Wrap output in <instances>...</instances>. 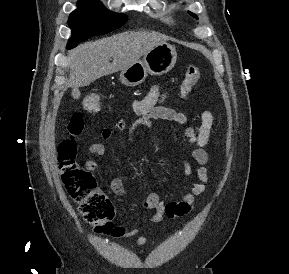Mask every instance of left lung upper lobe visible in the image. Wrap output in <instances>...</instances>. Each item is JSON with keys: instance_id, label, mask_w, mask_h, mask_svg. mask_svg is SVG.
<instances>
[{"instance_id": "left-lung-upper-lobe-1", "label": "left lung upper lobe", "mask_w": 289, "mask_h": 274, "mask_svg": "<svg viewBox=\"0 0 289 274\" xmlns=\"http://www.w3.org/2000/svg\"><path fill=\"white\" fill-rule=\"evenodd\" d=\"M189 14L191 15V16H193V17H196L193 13H191V12H189Z\"/></svg>"}]
</instances>
